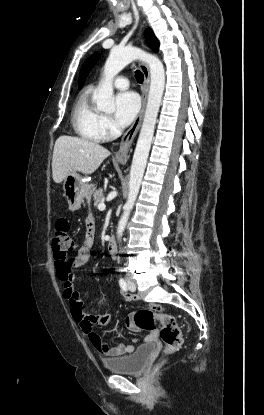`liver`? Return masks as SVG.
<instances>
[{
    "label": "liver",
    "instance_id": "1",
    "mask_svg": "<svg viewBox=\"0 0 264 415\" xmlns=\"http://www.w3.org/2000/svg\"><path fill=\"white\" fill-rule=\"evenodd\" d=\"M109 155V150L95 142L78 137L60 136L53 151V180L55 183H61L69 172L92 174Z\"/></svg>",
    "mask_w": 264,
    "mask_h": 415
}]
</instances>
